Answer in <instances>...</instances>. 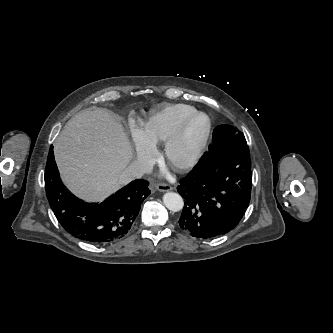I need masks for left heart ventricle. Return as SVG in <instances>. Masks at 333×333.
Wrapping results in <instances>:
<instances>
[{
    "instance_id": "left-heart-ventricle-1",
    "label": "left heart ventricle",
    "mask_w": 333,
    "mask_h": 333,
    "mask_svg": "<svg viewBox=\"0 0 333 333\" xmlns=\"http://www.w3.org/2000/svg\"><path fill=\"white\" fill-rule=\"evenodd\" d=\"M204 119L199 117L192 121L190 124L187 134L184 146L180 150L178 157L183 158L187 155V153L190 151V149L193 147V145L196 143L198 138L200 137L203 128H204Z\"/></svg>"
}]
</instances>
